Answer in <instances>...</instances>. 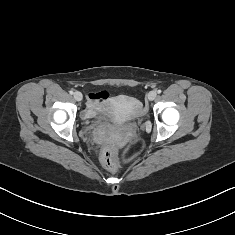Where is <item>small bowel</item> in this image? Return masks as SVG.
Wrapping results in <instances>:
<instances>
[{"mask_svg": "<svg viewBox=\"0 0 235 235\" xmlns=\"http://www.w3.org/2000/svg\"><path fill=\"white\" fill-rule=\"evenodd\" d=\"M102 100L108 101L106 93H97V94L90 93L88 95L87 114H93L97 102Z\"/></svg>", "mask_w": 235, "mask_h": 235, "instance_id": "obj_1", "label": "small bowel"}]
</instances>
